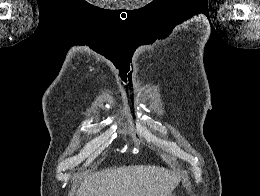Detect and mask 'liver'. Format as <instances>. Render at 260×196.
I'll use <instances>...</instances> for the list:
<instances>
[{
	"label": "liver",
	"mask_w": 260,
	"mask_h": 196,
	"mask_svg": "<svg viewBox=\"0 0 260 196\" xmlns=\"http://www.w3.org/2000/svg\"><path fill=\"white\" fill-rule=\"evenodd\" d=\"M178 172L158 166H123L84 176L77 196H169L178 186Z\"/></svg>",
	"instance_id": "6515ba94"
}]
</instances>
